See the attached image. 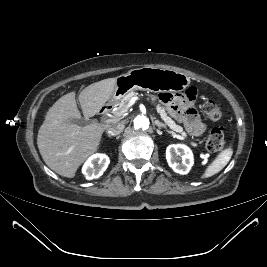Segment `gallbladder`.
<instances>
[{
	"instance_id": "obj_1",
	"label": "gallbladder",
	"mask_w": 267,
	"mask_h": 267,
	"mask_svg": "<svg viewBox=\"0 0 267 267\" xmlns=\"http://www.w3.org/2000/svg\"><path fill=\"white\" fill-rule=\"evenodd\" d=\"M69 121H70L71 123H73V124H77V125H79V126H81V127L85 126L86 123H87V120L84 119V118H80V119H70Z\"/></svg>"
}]
</instances>
